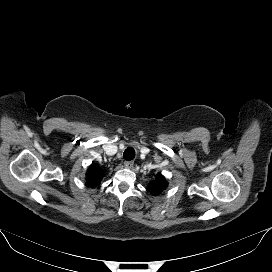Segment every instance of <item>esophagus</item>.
<instances>
[{"instance_id": "obj_1", "label": "esophagus", "mask_w": 272, "mask_h": 272, "mask_svg": "<svg viewBox=\"0 0 272 272\" xmlns=\"http://www.w3.org/2000/svg\"><path fill=\"white\" fill-rule=\"evenodd\" d=\"M133 165H134V162L131 161V160H130V161H126V162L124 163L125 168H128V169L132 168Z\"/></svg>"}]
</instances>
